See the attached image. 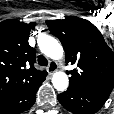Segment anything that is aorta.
Instances as JSON below:
<instances>
[{"instance_id": "762f6f07", "label": "aorta", "mask_w": 114, "mask_h": 114, "mask_svg": "<svg viewBox=\"0 0 114 114\" xmlns=\"http://www.w3.org/2000/svg\"><path fill=\"white\" fill-rule=\"evenodd\" d=\"M39 48L43 54L54 60H59L63 57V48L60 43L51 36H44L38 41ZM52 84L58 91H64L69 85V79L66 73L59 71L54 73Z\"/></svg>"}]
</instances>
